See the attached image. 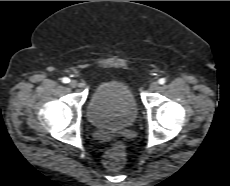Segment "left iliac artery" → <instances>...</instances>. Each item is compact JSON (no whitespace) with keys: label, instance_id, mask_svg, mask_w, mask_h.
<instances>
[{"label":"left iliac artery","instance_id":"left-iliac-artery-1","mask_svg":"<svg viewBox=\"0 0 230 186\" xmlns=\"http://www.w3.org/2000/svg\"><path fill=\"white\" fill-rule=\"evenodd\" d=\"M165 82H166V80L164 78H161L158 80V83L161 85L164 84Z\"/></svg>","mask_w":230,"mask_h":186}]
</instances>
